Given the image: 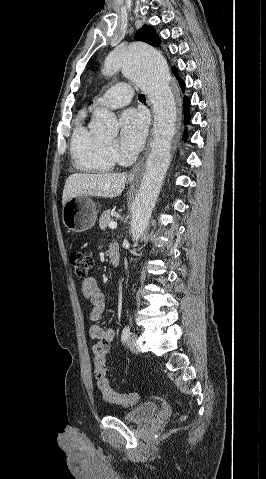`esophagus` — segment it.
Returning a JSON list of instances; mask_svg holds the SVG:
<instances>
[{"instance_id": "obj_1", "label": "esophagus", "mask_w": 266, "mask_h": 479, "mask_svg": "<svg viewBox=\"0 0 266 479\" xmlns=\"http://www.w3.org/2000/svg\"><path fill=\"white\" fill-rule=\"evenodd\" d=\"M143 160L144 158H142L129 172V175L128 177L129 178H135L139 172H140V168H141V165L143 163Z\"/></svg>"}]
</instances>
